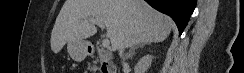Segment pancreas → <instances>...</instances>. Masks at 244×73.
<instances>
[{"mask_svg":"<svg viewBox=\"0 0 244 73\" xmlns=\"http://www.w3.org/2000/svg\"><path fill=\"white\" fill-rule=\"evenodd\" d=\"M99 58H100V60L103 59L102 52H99Z\"/></svg>","mask_w":244,"mask_h":73,"instance_id":"pancreas-1","label":"pancreas"}]
</instances>
